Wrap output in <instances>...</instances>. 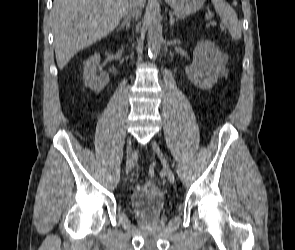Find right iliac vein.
Wrapping results in <instances>:
<instances>
[{"label":"right iliac vein","instance_id":"obj_1","mask_svg":"<svg viewBox=\"0 0 295 250\" xmlns=\"http://www.w3.org/2000/svg\"><path fill=\"white\" fill-rule=\"evenodd\" d=\"M135 153L132 149V141L129 140L127 143V157H126V164L125 170L126 172H130L133 169L134 162H135Z\"/></svg>","mask_w":295,"mask_h":250}]
</instances>
